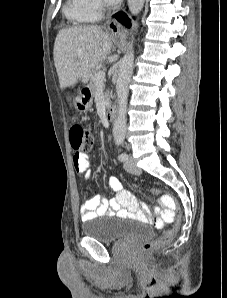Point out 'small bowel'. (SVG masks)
Returning <instances> with one entry per match:
<instances>
[{
    "label": "small bowel",
    "instance_id": "obj_1",
    "mask_svg": "<svg viewBox=\"0 0 227 298\" xmlns=\"http://www.w3.org/2000/svg\"><path fill=\"white\" fill-rule=\"evenodd\" d=\"M73 165L78 177H83L84 179L91 177L92 171L87 150H76V154L73 156ZM108 185L113 191L114 197L108 200L100 195H95L86 199L80 209V217L83 221L114 215L122 218H147L149 208L145 204L139 205L137 200L123 189L118 178L110 176ZM168 221L169 219L163 210L162 225Z\"/></svg>",
    "mask_w": 227,
    "mask_h": 298
}]
</instances>
